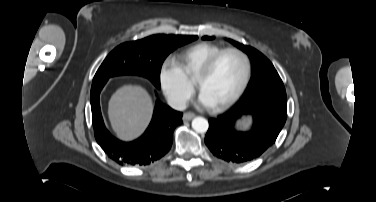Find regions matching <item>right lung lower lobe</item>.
Masks as SVG:
<instances>
[{
    "label": "right lung lower lobe",
    "instance_id": "1",
    "mask_svg": "<svg viewBox=\"0 0 376 202\" xmlns=\"http://www.w3.org/2000/svg\"><path fill=\"white\" fill-rule=\"evenodd\" d=\"M107 80L92 84L90 93L97 143L109 158L122 166L148 165L164 156L171 148L173 131L182 123L183 114L157 100L152 121L145 133L133 142H122L108 132L100 111L99 95Z\"/></svg>",
    "mask_w": 376,
    "mask_h": 202
}]
</instances>
